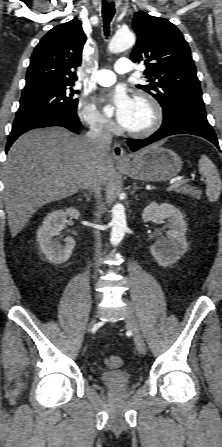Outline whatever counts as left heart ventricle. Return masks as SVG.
<instances>
[{"mask_svg":"<svg viewBox=\"0 0 222 447\" xmlns=\"http://www.w3.org/2000/svg\"><path fill=\"white\" fill-rule=\"evenodd\" d=\"M151 112L147 105L135 101L134 111L128 129H140L149 124Z\"/></svg>","mask_w":222,"mask_h":447,"instance_id":"obj_1","label":"left heart ventricle"}]
</instances>
